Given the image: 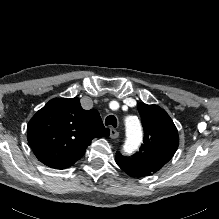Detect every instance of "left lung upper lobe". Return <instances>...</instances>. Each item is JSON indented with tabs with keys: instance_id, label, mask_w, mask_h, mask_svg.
I'll return each instance as SVG.
<instances>
[{
	"instance_id": "obj_1",
	"label": "left lung upper lobe",
	"mask_w": 219,
	"mask_h": 219,
	"mask_svg": "<svg viewBox=\"0 0 219 219\" xmlns=\"http://www.w3.org/2000/svg\"><path fill=\"white\" fill-rule=\"evenodd\" d=\"M138 111L144 129V143L131 157L117 152L116 163L132 177H146L171 160L178 148L179 136L172 119L159 106L141 102Z\"/></svg>"
}]
</instances>
